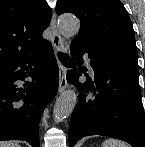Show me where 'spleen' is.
Here are the masks:
<instances>
[{
	"label": "spleen",
	"mask_w": 145,
	"mask_h": 147,
	"mask_svg": "<svg viewBox=\"0 0 145 147\" xmlns=\"http://www.w3.org/2000/svg\"><path fill=\"white\" fill-rule=\"evenodd\" d=\"M102 147H127L125 143L114 140V139H107L103 142Z\"/></svg>",
	"instance_id": "1"
}]
</instances>
